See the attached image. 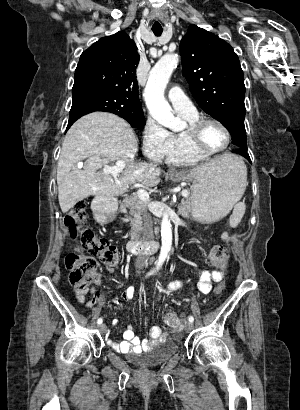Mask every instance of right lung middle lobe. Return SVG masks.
<instances>
[{"label": "right lung middle lobe", "instance_id": "right-lung-middle-lobe-1", "mask_svg": "<svg viewBox=\"0 0 300 410\" xmlns=\"http://www.w3.org/2000/svg\"><path fill=\"white\" fill-rule=\"evenodd\" d=\"M72 107L69 115V128L81 116L94 112H112L127 120L132 127L143 129L145 123L143 113L126 116L120 112L121 100L113 93L91 84L74 85L72 89Z\"/></svg>", "mask_w": 300, "mask_h": 410}]
</instances>
